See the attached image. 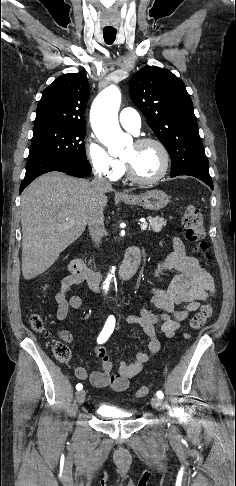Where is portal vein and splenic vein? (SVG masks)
<instances>
[{
  "instance_id": "18ae733b",
  "label": "portal vein and splenic vein",
  "mask_w": 236,
  "mask_h": 486,
  "mask_svg": "<svg viewBox=\"0 0 236 486\" xmlns=\"http://www.w3.org/2000/svg\"><path fill=\"white\" fill-rule=\"evenodd\" d=\"M147 226H148L147 222H144L143 224H141V230L145 231Z\"/></svg>"
}]
</instances>
